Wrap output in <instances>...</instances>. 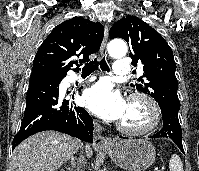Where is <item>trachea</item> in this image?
I'll return each instance as SVG.
<instances>
[{
  "mask_svg": "<svg viewBox=\"0 0 199 171\" xmlns=\"http://www.w3.org/2000/svg\"><path fill=\"white\" fill-rule=\"evenodd\" d=\"M99 66L103 71H107V72L110 71V69L106 63L105 57H103L101 60L95 59L94 61L85 64V66L82 68V73L90 74V73L94 72L96 69H98Z\"/></svg>",
  "mask_w": 199,
  "mask_h": 171,
  "instance_id": "obj_1",
  "label": "trachea"
}]
</instances>
